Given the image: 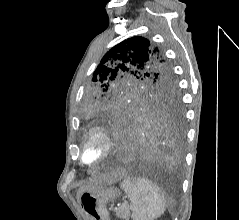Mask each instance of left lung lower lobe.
<instances>
[{"label": "left lung lower lobe", "instance_id": "1", "mask_svg": "<svg viewBox=\"0 0 239 220\" xmlns=\"http://www.w3.org/2000/svg\"><path fill=\"white\" fill-rule=\"evenodd\" d=\"M95 122L108 128L113 135L116 146L112 162L116 165H175L181 161L183 112H161L154 109L127 112L110 109L103 112Z\"/></svg>", "mask_w": 239, "mask_h": 220}]
</instances>
